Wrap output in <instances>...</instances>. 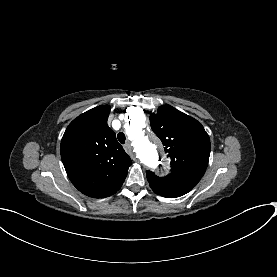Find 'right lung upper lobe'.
Masks as SVG:
<instances>
[{
  "label": "right lung upper lobe",
  "mask_w": 277,
  "mask_h": 277,
  "mask_svg": "<svg viewBox=\"0 0 277 277\" xmlns=\"http://www.w3.org/2000/svg\"><path fill=\"white\" fill-rule=\"evenodd\" d=\"M109 112L110 106L101 105L81 114L61 140V158L70 181L93 198L116 193L132 164L107 125Z\"/></svg>",
  "instance_id": "right-lung-upper-lobe-1"
}]
</instances>
